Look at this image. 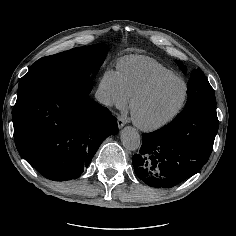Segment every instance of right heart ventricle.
Here are the masks:
<instances>
[{"mask_svg":"<svg viewBox=\"0 0 236 236\" xmlns=\"http://www.w3.org/2000/svg\"><path fill=\"white\" fill-rule=\"evenodd\" d=\"M123 85L131 97L154 79L173 76L174 72L158 60L145 55H126L117 61Z\"/></svg>","mask_w":236,"mask_h":236,"instance_id":"1","label":"right heart ventricle"}]
</instances>
